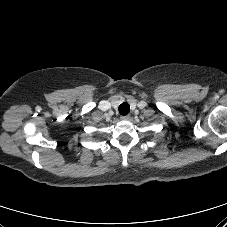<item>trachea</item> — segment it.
<instances>
[{"instance_id": "1", "label": "trachea", "mask_w": 227, "mask_h": 227, "mask_svg": "<svg viewBox=\"0 0 227 227\" xmlns=\"http://www.w3.org/2000/svg\"><path fill=\"white\" fill-rule=\"evenodd\" d=\"M130 112V106L128 103L124 102L119 106V113L121 115H127Z\"/></svg>"}]
</instances>
